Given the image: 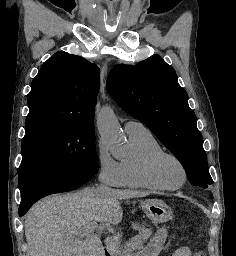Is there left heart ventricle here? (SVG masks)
I'll return each instance as SVG.
<instances>
[{
	"instance_id": "left-heart-ventricle-1",
	"label": "left heart ventricle",
	"mask_w": 236,
	"mask_h": 256,
	"mask_svg": "<svg viewBox=\"0 0 236 256\" xmlns=\"http://www.w3.org/2000/svg\"><path fill=\"white\" fill-rule=\"evenodd\" d=\"M160 178L168 185H178L183 181V170L180 165L171 158H165L158 167Z\"/></svg>"
}]
</instances>
